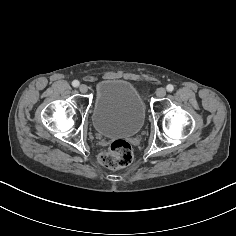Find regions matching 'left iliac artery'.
<instances>
[{
	"instance_id": "obj_1",
	"label": "left iliac artery",
	"mask_w": 236,
	"mask_h": 236,
	"mask_svg": "<svg viewBox=\"0 0 236 236\" xmlns=\"http://www.w3.org/2000/svg\"><path fill=\"white\" fill-rule=\"evenodd\" d=\"M166 89L168 92H172L174 90V86L169 84V85H167Z\"/></svg>"
}]
</instances>
